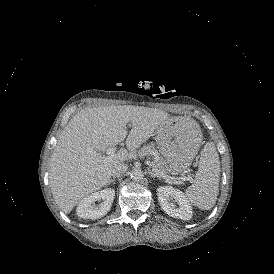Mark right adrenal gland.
I'll use <instances>...</instances> for the list:
<instances>
[{
  "label": "right adrenal gland",
  "instance_id": "right-adrenal-gland-1",
  "mask_svg": "<svg viewBox=\"0 0 274 274\" xmlns=\"http://www.w3.org/2000/svg\"><path fill=\"white\" fill-rule=\"evenodd\" d=\"M114 182H115V179H111L110 181H109V184H114Z\"/></svg>",
  "mask_w": 274,
  "mask_h": 274
}]
</instances>
